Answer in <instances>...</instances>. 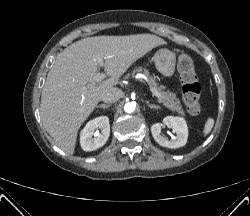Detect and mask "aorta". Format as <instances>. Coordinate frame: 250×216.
Listing matches in <instances>:
<instances>
[{"label":"aorta","instance_id":"obj_1","mask_svg":"<svg viewBox=\"0 0 250 216\" xmlns=\"http://www.w3.org/2000/svg\"><path fill=\"white\" fill-rule=\"evenodd\" d=\"M135 110V104L132 102H128L124 105V111L126 113H132Z\"/></svg>","mask_w":250,"mask_h":216}]
</instances>
